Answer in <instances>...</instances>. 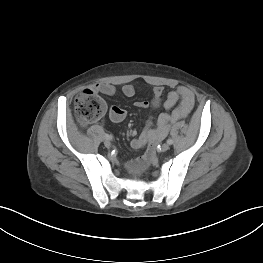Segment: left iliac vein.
Here are the masks:
<instances>
[{
  "instance_id": "4c4485c4",
  "label": "left iliac vein",
  "mask_w": 263,
  "mask_h": 263,
  "mask_svg": "<svg viewBox=\"0 0 263 263\" xmlns=\"http://www.w3.org/2000/svg\"><path fill=\"white\" fill-rule=\"evenodd\" d=\"M169 149V144L168 143H164L161 146V151L162 152H166Z\"/></svg>"
}]
</instances>
